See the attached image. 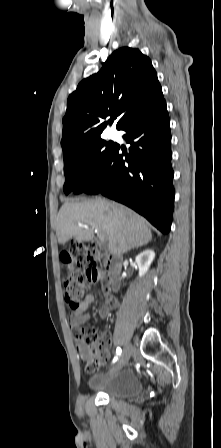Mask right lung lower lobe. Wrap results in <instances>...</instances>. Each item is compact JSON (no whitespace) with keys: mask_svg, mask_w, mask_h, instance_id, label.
I'll list each match as a JSON object with an SVG mask.
<instances>
[{"mask_svg":"<svg viewBox=\"0 0 221 448\" xmlns=\"http://www.w3.org/2000/svg\"><path fill=\"white\" fill-rule=\"evenodd\" d=\"M119 130L126 132L123 137L131 144L129 154L117 146L105 169L84 192L101 193L131 207L167 234L172 221L174 172L163 94L129 116Z\"/></svg>","mask_w":221,"mask_h":448,"instance_id":"98d812e1","label":"right lung lower lobe"}]
</instances>
